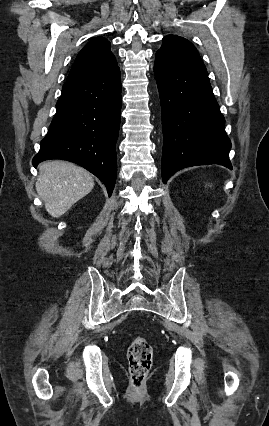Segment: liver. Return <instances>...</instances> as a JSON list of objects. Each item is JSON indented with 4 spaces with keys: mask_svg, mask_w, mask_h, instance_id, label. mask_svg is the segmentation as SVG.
Returning a JSON list of instances; mask_svg holds the SVG:
<instances>
[{
    "mask_svg": "<svg viewBox=\"0 0 269 426\" xmlns=\"http://www.w3.org/2000/svg\"><path fill=\"white\" fill-rule=\"evenodd\" d=\"M93 187L91 174L71 162L47 161L39 166L36 191L52 217H61Z\"/></svg>",
    "mask_w": 269,
    "mask_h": 426,
    "instance_id": "liver-1",
    "label": "liver"
}]
</instances>
